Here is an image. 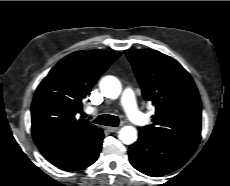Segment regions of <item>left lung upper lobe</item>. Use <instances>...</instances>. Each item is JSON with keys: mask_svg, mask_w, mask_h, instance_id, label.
<instances>
[{"mask_svg": "<svg viewBox=\"0 0 230 186\" xmlns=\"http://www.w3.org/2000/svg\"><path fill=\"white\" fill-rule=\"evenodd\" d=\"M143 97L155 107L153 124L139 131L158 139L197 146L201 101L190 74L173 58L152 49L125 50Z\"/></svg>", "mask_w": 230, "mask_h": 186, "instance_id": "left-lung-upper-lobe-1", "label": "left lung upper lobe"}]
</instances>
